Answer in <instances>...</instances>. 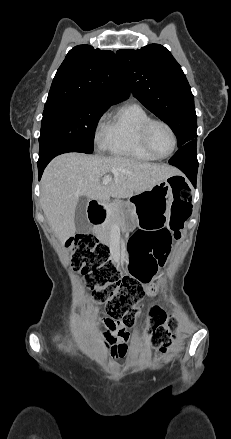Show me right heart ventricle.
<instances>
[{
	"label": "right heart ventricle",
	"mask_w": 231,
	"mask_h": 439,
	"mask_svg": "<svg viewBox=\"0 0 231 439\" xmlns=\"http://www.w3.org/2000/svg\"><path fill=\"white\" fill-rule=\"evenodd\" d=\"M152 119L139 103L125 104L114 111L103 130L101 148L115 156L138 161L155 160L141 142L143 126Z\"/></svg>",
	"instance_id": "e07e8e85"
}]
</instances>
